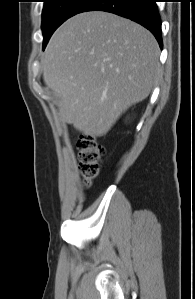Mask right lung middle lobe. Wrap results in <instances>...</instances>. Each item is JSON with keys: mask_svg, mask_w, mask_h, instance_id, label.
<instances>
[{"mask_svg": "<svg viewBox=\"0 0 195 299\" xmlns=\"http://www.w3.org/2000/svg\"><path fill=\"white\" fill-rule=\"evenodd\" d=\"M89 0H44L42 12L43 48L65 20L79 13Z\"/></svg>", "mask_w": 195, "mask_h": 299, "instance_id": "1", "label": "right lung middle lobe"}]
</instances>
